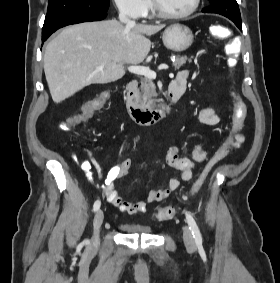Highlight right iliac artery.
I'll return each mask as SVG.
<instances>
[{
	"label": "right iliac artery",
	"mask_w": 280,
	"mask_h": 283,
	"mask_svg": "<svg viewBox=\"0 0 280 283\" xmlns=\"http://www.w3.org/2000/svg\"><path fill=\"white\" fill-rule=\"evenodd\" d=\"M101 202L99 200L95 201L93 205V211L96 212L100 208Z\"/></svg>",
	"instance_id": "right-iliac-artery-1"
}]
</instances>
